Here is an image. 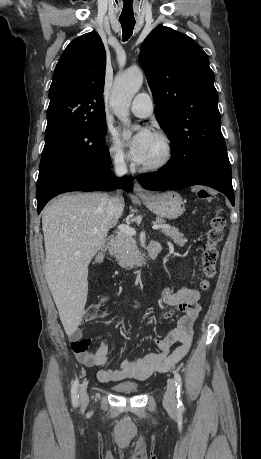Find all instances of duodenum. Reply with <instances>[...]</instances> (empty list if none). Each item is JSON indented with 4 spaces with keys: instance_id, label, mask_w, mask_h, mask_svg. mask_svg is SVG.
I'll return each mask as SVG.
<instances>
[{
    "instance_id": "1",
    "label": "duodenum",
    "mask_w": 261,
    "mask_h": 459,
    "mask_svg": "<svg viewBox=\"0 0 261 459\" xmlns=\"http://www.w3.org/2000/svg\"><path fill=\"white\" fill-rule=\"evenodd\" d=\"M114 236L110 235L106 238L105 243L102 247L103 251L109 250L114 243ZM161 251V246L158 242L152 241L147 246L146 258L150 261L155 260Z\"/></svg>"
}]
</instances>
